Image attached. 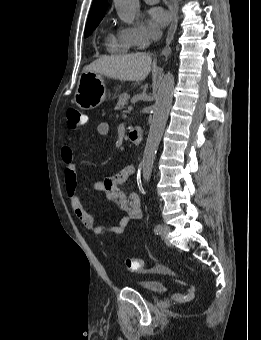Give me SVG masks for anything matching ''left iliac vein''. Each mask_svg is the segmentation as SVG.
I'll list each match as a JSON object with an SVG mask.
<instances>
[{
  "mask_svg": "<svg viewBox=\"0 0 261 340\" xmlns=\"http://www.w3.org/2000/svg\"><path fill=\"white\" fill-rule=\"evenodd\" d=\"M170 232V227L168 225H162L161 231L159 232L162 237H166Z\"/></svg>",
  "mask_w": 261,
  "mask_h": 340,
  "instance_id": "left-iliac-vein-1",
  "label": "left iliac vein"
}]
</instances>
